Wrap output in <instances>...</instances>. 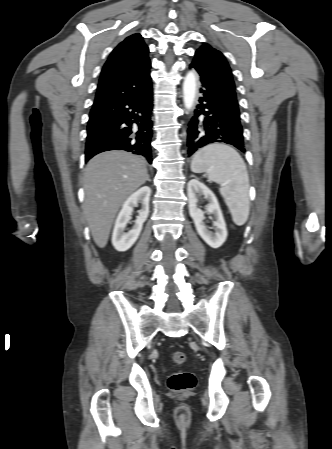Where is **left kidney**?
<instances>
[{"label":"left kidney","mask_w":332,"mask_h":449,"mask_svg":"<svg viewBox=\"0 0 332 449\" xmlns=\"http://www.w3.org/2000/svg\"><path fill=\"white\" fill-rule=\"evenodd\" d=\"M187 190L189 198V214L194 221L198 234L210 247L219 248L227 238V229L215 194L197 179H192L188 182ZM202 195L209 202L206 206L207 212L212 214L215 218V221L213 222L215 227L214 233L210 232L205 226V223L203 222L204 213L198 208V199Z\"/></svg>","instance_id":"1"}]
</instances>
